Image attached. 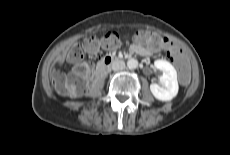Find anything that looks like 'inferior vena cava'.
<instances>
[{
  "mask_svg": "<svg viewBox=\"0 0 230 155\" xmlns=\"http://www.w3.org/2000/svg\"><path fill=\"white\" fill-rule=\"evenodd\" d=\"M112 70L118 71L125 68V63L123 61H115L111 65Z\"/></svg>",
  "mask_w": 230,
  "mask_h": 155,
  "instance_id": "1",
  "label": "inferior vena cava"
}]
</instances>
